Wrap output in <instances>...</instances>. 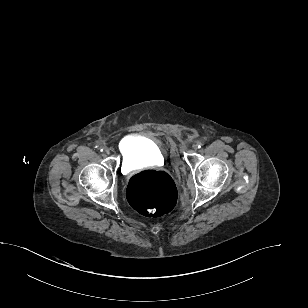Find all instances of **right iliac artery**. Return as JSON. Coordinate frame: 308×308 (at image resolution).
<instances>
[{
	"instance_id": "right-iliac-artery-1",
	"label": "right iliac artery",
	"mask_w": 308,
	"mask_h": 308,
	"mask_svg": "<svg viewBox=\"0 0 308 308\" xmlns=\"http://www.w3.org/2000/svg\"><path fill=\"white\" fill-rule=\"evenodd\" d=\"M96 148H98V150L101 151V152L104 150V148L102 146H96Z\"/></svg>"
}]
</instances>
